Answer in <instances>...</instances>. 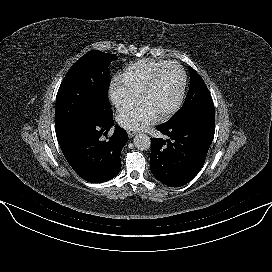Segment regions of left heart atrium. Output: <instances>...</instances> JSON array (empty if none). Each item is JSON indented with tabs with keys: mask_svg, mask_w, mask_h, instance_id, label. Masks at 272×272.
Here are the masks:
<instances>
[{
	"mask_svg": "<svg viewBox=\"0 0 272 272\" xmlns=\"http://www.w3.org/2000/svg\"><path fill=\"white\" fill-rule=\"evenodd\" d=\"M158 117L149 105L141 102L136 107L119 114L117 122L125 129L141 130L154 123Z\"/></svg>",
	"mask_w": 272,
	"mask_h": 272,
	"instance_id": "obj_1",
	"label": "left heart atrium"
}]
</instances>
